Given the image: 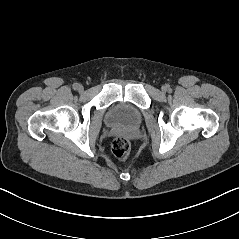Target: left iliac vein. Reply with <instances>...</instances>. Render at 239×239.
<instances>
[{
	"mask_svg": "<svg viewBox=\"0 0 239 239\" xmlns=\"http://www.w3.org/2000/svg\"><path fill=\"white\" fill-rule=\"evenodd\" d=\"M167 90V87L166 86H163L162 87V91L165 92Z\"/></svg>",
	"mask_w": 239,
	"mask_h": 239,
	"instance_id": "4c4485c4",
	"label": "left iliac vein"
}]
</instances>
